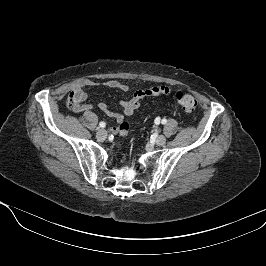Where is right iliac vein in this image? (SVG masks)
<instances>
[{
  "label": "right iliac vein",
  "instance_id": "63e3f726",
  "mask_svg": "<svg viewBox=\"0 0 266 266\" xmlns=\"http://www.w3.org/2000/svg\"><path fill=\"white\" fill-rule=\"evenodd\" d=\"M96 137L99 140H104L107 137V132L104 129H99L96 133Z\"/></svg>",
  "mask_w": 266,
  "mask_h": 266
}]
</instances>
